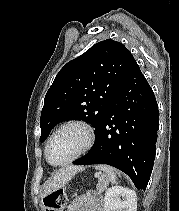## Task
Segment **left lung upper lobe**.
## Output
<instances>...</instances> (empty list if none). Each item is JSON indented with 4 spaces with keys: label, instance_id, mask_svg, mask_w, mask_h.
<instances>
[{
    "label": "left lung upper lobe",
    "instance_id": "5c2ea615",
    "mask_svg": "<svg viewBox=\"0 0 179 211\" xmlns=\"http://www.w3.org/2000/svg\"><path fill=\"white\" fill-rule=\"evenodd\" d=\"M133 59L122 43L107 39L69 61L45 96L40 141L46 140L56 124L70 119L91 123L97 134Z\"/></svg>",
    "mask_w": 179,
    "mask_h": 211
}]
</instances>
